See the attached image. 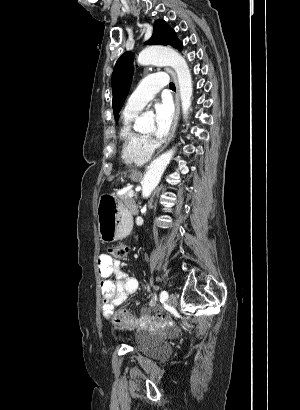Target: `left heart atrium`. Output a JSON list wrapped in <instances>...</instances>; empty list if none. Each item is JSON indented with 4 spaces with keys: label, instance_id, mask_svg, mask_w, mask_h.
<instances>
[{
    "label": "left heart atrium",
    "instance_id": "left-heart-atrium-1",
    "mask_svg": "<svg viewBox=\"0 0 300 410\" xmlns=\"http://www.w3.org/2000/svg\"><path fill=\"white\" fill-rule=\"evenodd\" d=\"M154 116L156 131L155 135L158 139L164 138L172 125L173 111L168 102H160L154 106Z\"/></svg>",
    "mask_w": 300,
    "mask_h": 410
}]
</instances>
